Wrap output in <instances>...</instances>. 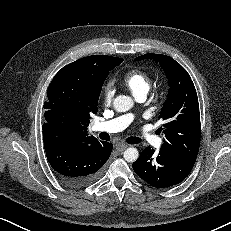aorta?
<instances>
[{
	"label": "aorta",
	"instance_id": "aorta-1",
	"mask_svg": "<svg viewBox=\"0 0 231 231\" xmlns=\"http://www.w3.org/2000/svg\"><path fill=\"white\" fill-rule=\"evenodd\" d=\"M134 105L133 99L129 96L119 95L114 99L113 106L117 112H126ZM124 159L127 162H135L139 157V151L134 147H129L124 151Z\"/></svg>",
	"mask_w": 231,
	"mask_h": 231
}]
</instances>
